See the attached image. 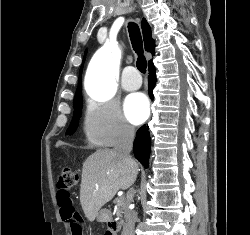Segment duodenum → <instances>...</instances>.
<instances>
[{
    "label": "duodenum",
    "instance_id": "410a0bca",
    "mask_svg": "<svg viewBox=\"0 0 250 235\" xmlns=\"http://www.w3.org/2000/svg\"><path fill=\"white\" fill-rule=\"evenodd\" d=\"M108 227H109V235H117V223L113 220H111L108 223Z\"/></svg>",
    "mask_w": 250,
    "mask_h": 235
}]
</instances>
